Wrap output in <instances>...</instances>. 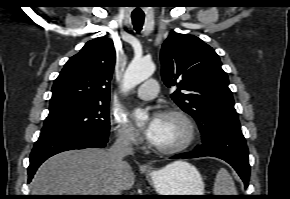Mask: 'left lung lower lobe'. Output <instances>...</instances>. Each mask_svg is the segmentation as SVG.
Returning a JSON list of instances; mask_svg holds the SVG:
<instances>
[{
    "label": "left lung lower lobe",
    "mask_w": 290,
    "mask_h": 199,
    "mask_svg": "<svg viewBox=\"0 0 290 199\" xmlns=\"http://www.w3.org/2000/svg\"><path fill=\"white\" fill-rule=\"evenodd\" d=\"M212 156L228 162L239 174L248 187L250 165L248 148L241 131H217L193 153H186L175 158H197Z\"/></svg>",
    "instance_id": "0a47b994"
}]
</instances>
